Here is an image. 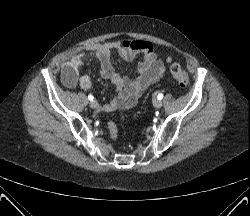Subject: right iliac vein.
Segmentation results:
<instances>
[{
    "label": "right iliac vein",
    "mask_w": 250,
    "mask_h": 216,
    "mask_svg": "<svg viewBox=\"0 0 250 216\" xmlns=\"http://www.w3.org/2000/svg\"><path fill=\"white\" fill-rule=\"evenodd\" d=\"M97 106H98V102H97L96 100H92V101L90 102V107H91V108H97Z\"/></svg>",
    "instance_id": "1"
}]
</instances>
